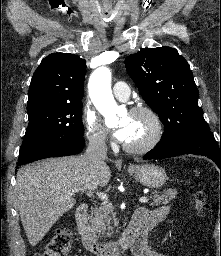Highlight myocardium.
Masks as SVG:
<instances>
[{
  "label": "myocardium",
  "mask_w": 221,
  "mask_h": 256,
  "mask_svg": "<svg viewBox=\"0 0 221 256\" xmlns=\"http://www.w3.org/2000/svg\"><path fill=\"white\" fill-rule=\"evenodd\" d=\"M130 115H145L147 116L153 127L151 136L143 143L138 145H131L125 143L124 149L130 153L141 154L146 153L155 148L161 141L164 134V125L159 114L148 106H136L130 111Z\"/></svg>",
  "instance_id": "myocardium-1"
}]
</instances>
